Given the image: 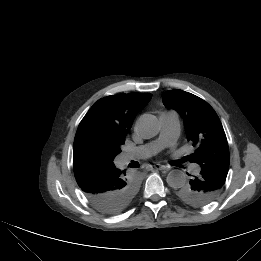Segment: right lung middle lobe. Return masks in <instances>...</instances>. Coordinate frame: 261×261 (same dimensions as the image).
Wrapping results in <instances>:
<instances>
[{
	"label": "right lung middle lobe",
	"mask_w": 261,
	"mask_h": 261,
	"mask_svg": "<svg viewBox=\"0 0 261 261\" xmlns=\"http://www.w3.org/2000/svg\"><path fill=\"white\" fill-rule=\"evenodd\" d=\"M122 139H103L96 135H88L80 141V150L85 159L99 162H112L121 152ZM138 184L133 181L126 189L125 202L129 204L137 192Z\"/></svg>",
	"instance_id": "obj_1"
}]
</instances>
